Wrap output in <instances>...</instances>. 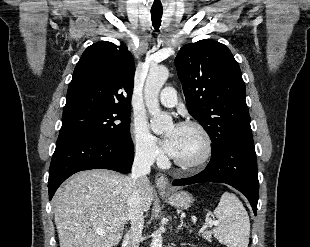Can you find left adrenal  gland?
Wrapping results in <instances>:
<instances>
[{
  "label": "left adrenal gland",
  "instance_id": "obj_1",
  "mask_svg": "<svg viewBox=\"0 0 310 247\" xmlns=\"http://www.w3.org/2000/svg\"><path fill=\"white\" fill-rule=\"evenodd\" d=\"M183 227H185V228H187V230H188V227L186 226V224H184V222H183V219L181 218L180 219V225L177 227V233L179 232V230H181Z\"/></svg>",
  "mask_w": 310,
  "mask_h": 247
}]
</instances>
